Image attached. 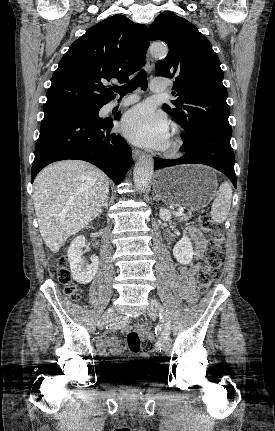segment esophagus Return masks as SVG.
<instances>
[{
  "mask_svg": "<svg viewBox=\"0 0 275 431\" xmlns=\"http://www.w3.org/2000/svg\"><path fill=\"white\" fill-rule=\"evenodd\" d=\"M146 69L148 72H151L154 66V60L151 57L149 51L147 52V59H146ZM133 158L137 159L141 155V151L138 149H133Z\"/></svg>",
  "mask_w": 275,
  "mask_h": 431,
  "instance_id": "1",
  "label": "esophagus"
}]
</instances>
